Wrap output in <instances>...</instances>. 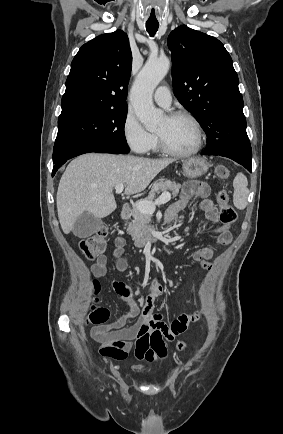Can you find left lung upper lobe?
<instances>
[{
	"mask_svg": "<svg viewBox=\"0 0 283 434\" xmlns=\"http://www.w3.org/2000/svg\"><path fill=\"white\" fill-rule=\"evenodd\" d=\"M168 47L174 94L205 131V152L238 163L251 159L239 80L224 45L182 25L170 33Z\"/></svg>",
	"mask_w": 283,
	"mask_h": 434,
	"instance_id": "obj_1",
	"label": "left lung upper lobe"
}]
</instances>
